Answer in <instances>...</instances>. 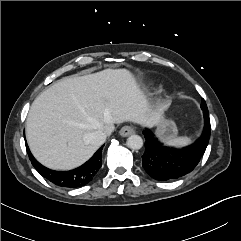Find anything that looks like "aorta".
Instances as JSON below:
<instances>
[{
  "mask_svg": "<svg viewBox=\"0 0 241 241\" xmlns=\"http://www.w3.org/2000/svg\"><path fill=\"white\" fill-rule=\"evenodd\" d=\"M127 146L132 150H139L143 146V140L139 135H131L128 137Z\"/></svg>",
  "mask_w": 241,
  "mask_h": 241,
  "instance_id": "aorta-1",
  "label": "aorta"
}]
</instances>
